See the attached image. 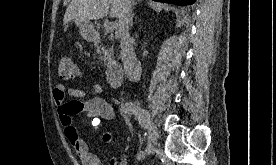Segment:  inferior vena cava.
<instances>
[{
  "instance_id": "obj_1",
  "label": "inferior vena cava",
  "mask_w": 276,
  "mask_h": 165,
  "mask_svg": "<svg viewBox=\"0 0 276 165\" xmlns=\"http://www.w3.org/2000/svg\"><path fill=\"white\" fill-rule=\"evenodd\" d=\"M132 10L133 1L124 0L122 11L119 16L118 32L120 36V47L124 68L130 79L138 81L141 76V66L135 59L129 36V25L132 20Z\"/></svg>"
}]
</instances>
